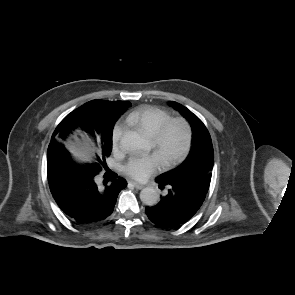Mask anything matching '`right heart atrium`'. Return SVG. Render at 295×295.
Segmentation results:
<instances>
[{"label":"right heart atrium","mask_w":295,"mask_h":295,"mask_svg":"<svg viewBox=\"0 0 295 295\" xmlns=\"http://www.w3.org/2000/svg\"><path fill=\"white\" fill-rule=\"evenodd\" d=\"M124 130L125 128L122 123H117L112 130L111 139H112L113 148L115 150H117L120 147V141L124 133Z\"/></svg>","instance_id":"1"}]
</instances>
